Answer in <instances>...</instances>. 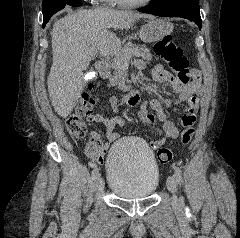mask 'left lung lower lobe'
I'll use <instances>...</instances> for the list:
<instances>
[{"instance_id": "obj_1", "label": "left lung lower lobe", "mask_w": 240, "mask_h": 238, "mask_svg": "<svg viewBox=\"0 0 240 238\" xmlns=\"http://www.w3.org/2000/svg\"><path fill=\"white\" fill-rule=\"evenodd\" d=\"M138 11L159 17H180L195 22L201 29L202 21L199 12V0H162L148 5Z\"/></svg>"}]
</instances>
